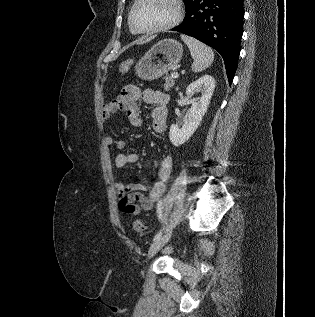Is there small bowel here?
Listing matches in <instances>:
<instances>
[{
    "mask_svg": "<svg viewBox=\"0 0 315 317\" xmlns=\"http://www.w3.org/2000/svg\"><path fill=\"white\" fill-rule=\"evenodd\" d=\"M141 101L153 105L152 128L157 133H163L167 126L168 95L151 89L141 91L134 85L125 86L116 99L104 105L102 119L107 121L113 114L121 110L126 114L132 126L139 127L142 124L139 104ZM105 143L116 149H123L125 146L123 141L110 135L105 137ZM138 159L137 153H119L115 156L114 164L117 168H124L136 163ZM171 170L172 160L169 156H165L158 165L157 181L154 183H124L117 180L115 188L120 211L135 216L140 213L141 209L152 210L165 191V184L170 177Z\"/></svg>",
    "mask_w": 315,
    "mask_h": 317,
    "instance_id": "small-bowel-1",
    "label": "small bowel"
}]
</instances>
